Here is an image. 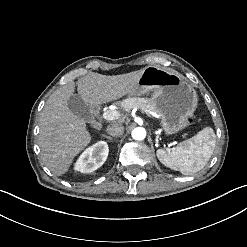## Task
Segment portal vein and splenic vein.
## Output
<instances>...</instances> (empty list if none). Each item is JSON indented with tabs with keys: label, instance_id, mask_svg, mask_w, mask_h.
I'll list each match as a JSON object with an SVG mask.
<instances>
[{
	"label": "portal vein and splenic vein",
	"instance_id": "obj_1",
	"mask_svg": "<svg viewBox=\"0 0 247 247\" xmlns=\"http://www.w3.org/2000/svg\"><path fill=\"white\" fill-rule=\"evenodd\" d=\"M120 116L121 113L116 110H109L103 113V118L109 121L119 119Z\"/></svg>",
	"mask_w": 247,
	"mask_h": 247
}]
</instances>
